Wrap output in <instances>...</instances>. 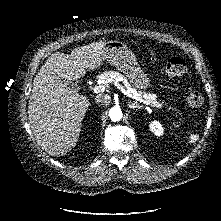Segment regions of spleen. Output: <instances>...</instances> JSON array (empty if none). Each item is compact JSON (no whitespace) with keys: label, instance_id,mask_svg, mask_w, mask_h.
Returning a JSON list of instances; mask_svg holds the SVG:
<instances>
[{"label":"spleen","instance_id":"spleen-1","mask_svg":"<svg viewBox=\"0 0 221 221\" xmlns=\"http://www.w3.org/2000/svg\"><path fill=\"white\" fill-rule=\"evenodd\" d=\"M198 140V135H192L191 137H190V143H194L195 141H197Z\"/></svg>","mask_w":221,"mask_h":221}]
</instances>
